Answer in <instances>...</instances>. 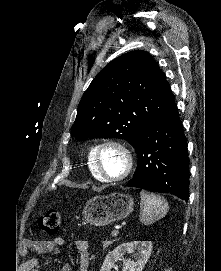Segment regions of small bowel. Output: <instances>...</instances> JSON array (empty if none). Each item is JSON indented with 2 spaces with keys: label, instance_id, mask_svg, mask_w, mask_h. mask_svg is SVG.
<instances>
[{
  "label": "small bowel",
  "instance_id": "obj_1",
  "mask_svg": "<svg viewBox=\"0 0 221 271\" xmlns=\"http://www.w3.org/2000/svg\"><path fill=\"white\" fill-rule=\"evenodd\" d=\"M64 240L61 237L54 239H35L26 240L24 242V250H32L38 254H46L53 252L58 246H62ZM76 249L79 253V271H88L90 266L89 256V243L85 239H78L75 241ZM37 264L36 259H32L27 263V267L33 271H38L35 268ZM72 267L69 264H64L60 271H72Z\"/></svg>",
  "mask_w": 221,
  "mask_h": 271
}]
</instances>
